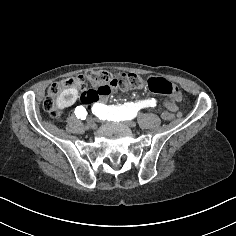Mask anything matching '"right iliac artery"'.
Here are the masks:
<instances>
[{
    "label": "right iliac artery",
    "instance_id": "right-iliac-artery-1",
    "mask_svg": "<svg viewBox=\"0 0 236 236\" xmlns=\"http://www.w3.org/2000/svg\"><path fill=\"white\" fill-rule=\"evenodd\" d=\"M75 115L78 119H81V120L86 119V116H87L86 109L83 106H77L75 108Z\"/></svg>",
    "mask_w": 236,
    "mask_h": 236
}]
</instances>
